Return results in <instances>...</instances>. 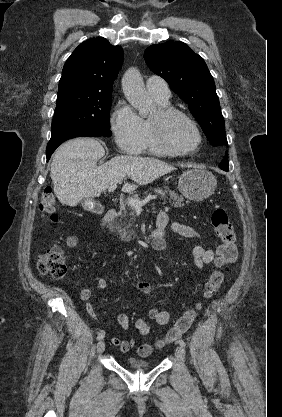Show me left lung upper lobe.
<instances>
[{
    "mask_svg": "<svg viewBox=\"0 0 282 417\" xmlns=\"http://www.w3.org/2000/svg\"><path fill=\"white\" fill-rule=\"evenodd\" d=\"M144 58L149 68L188 104L210 144L225 148V122L205 61L180 41L152 45L145 50Z\"/></svg>",
    "mask_w": 282,
    "mask_h": 417,
    "instance_id": "obj_1",
    "label": "left lung upper lobe"
}]
</instances>
